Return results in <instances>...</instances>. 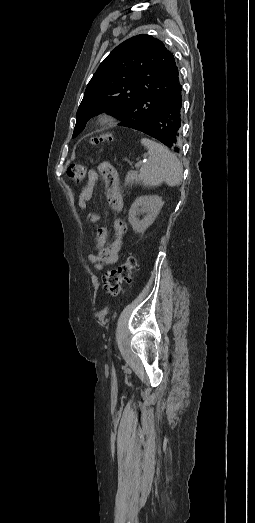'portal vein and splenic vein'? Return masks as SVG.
I'll return each instance as SVG.
<instances>
[{
    "mask_svg": "<svg viewBox=\"0 0 255 523\" xmlns=\"http://www.w3.org/2000/svg\"><path fill=\"white\" fill-rule=\"evenodd\" d=\"M139 166H142V161H136L135 168H139ZM134 172H137V169H134Z\"/></svg>",
    "mask_w": 255,
    "mask_h": 523,
    "instance_id": "obj_1",
    "label": "portal vein and splenic vein"
}]
</instances>
